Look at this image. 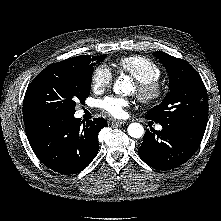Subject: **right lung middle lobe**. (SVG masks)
<instances>
[{
	"mask_svg": "<svg viewBox=\"0 0 221 221\" xmlns=\"http://www.w3.org/2000/svg\"><path fill=\"white\" fill-rule=\"evenodd\" d=\"M105 58L106 55L90 56L83 67L62 62L46 67L28 86L23 113L74 114L76 103H84L90 93L94 61L99 63Z\"/></svg>",
	"mask_w": 221,
	"mask_h": 221,
	"instance_id": "right-lung-middle-lobe-1",
	"label": "right lung middle lobe"
}]
</instances>
